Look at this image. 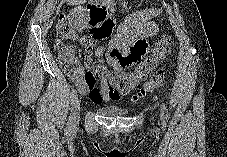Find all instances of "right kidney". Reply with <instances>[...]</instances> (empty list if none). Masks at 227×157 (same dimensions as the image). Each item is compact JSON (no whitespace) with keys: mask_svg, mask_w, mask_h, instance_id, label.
Here are the masks:
<instances>
[{"mask_svg":"<svg viewBox=\"0 0 227 157\" xmlns=\"http://www.w3.org/2000/svg\"><path fill=\"white\" fill-rule=\"evenodd\" d=\"M84 13V9L81 7H76L75 9H73L70 14H69V18L71 20H73L74 18H78L80 17L81 14Z\"/></svg>","mask_w":227,"mask_h":157,"instance_id":"right-kidney-1","label":"right kidney"}]
</instances>
